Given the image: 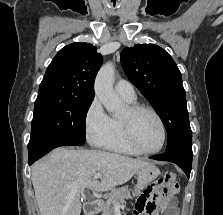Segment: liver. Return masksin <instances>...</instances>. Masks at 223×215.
Wrapping results in <instances>:
<instances>
[{
	"mask_svg": "<svg viewBox=\"0 0 223 215\" xmlns=\"http://www.w3.org/2000/svg\"><path fill=\"white\" fill-rule=\"evenodd\" d=\"M145 159H133L100 149L56 147L45 161H36L31 181L41 215H80V193L85 187L108 191L122 185L148 165ZM103 173L101 181L92 175Z\"/></svg>",
	"mask_w": 223,
	"mask_h": 215,
	"instance_id": "liver-1",
	"label": "liver"
}]
</instances>
